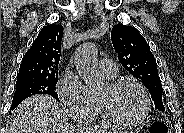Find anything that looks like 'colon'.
<instances>
[{"mask_svg": "<svg viewBox=\"0 0 184 133\" xmlns=\"http://www.w3.org/2000/svg\"><path fill=\"white\" fill-rule=\"evenodd\" d=\"M150 133H168V127L163 122H155L150 128Z\"/></svg>", "mask_w": 184, "mask_h": 133, "instance_id": "obj_1", "label": "colon"}]
</instances>
